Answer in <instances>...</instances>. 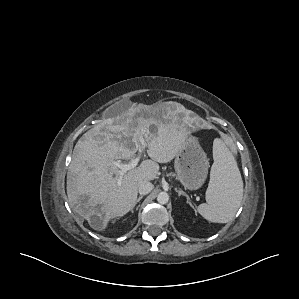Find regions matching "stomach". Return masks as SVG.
I'll return each instance as SVG.
<instances>
[{"instance_id":"obj_1","label":"stomach","mask_w":299,"mask_h":299,"mask_svg":"<svg viewBox=\"0 0 299 299\" xmlns=\"http://www.w3.org/2000/svg\"><path fill=\"white\" fill-rule=\"evenodd\" d=\"M174 168L182 185L189 190L199 189L208 174L209 160L192 135L186 137L183 147L176 155Z\"/></svg>"}]
</instances>
